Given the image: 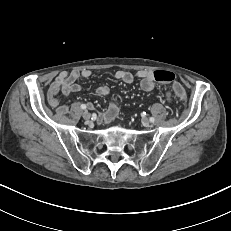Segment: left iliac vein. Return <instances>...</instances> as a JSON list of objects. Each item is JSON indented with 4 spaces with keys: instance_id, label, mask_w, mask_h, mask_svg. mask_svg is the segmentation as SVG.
<instances>
[{
    "instance_id": "1",
    "label": "left iliac vein",
    "mask_w": 231,
    "mask_h": 231,
    "mask_svg": "<svg viewBox=\"0 0 231 231\" xmlns=\"http://www.w3.org/2000/svg\"><path fill=\"white\" fill-rule=\"evenodd\" d=\"M142 124H143V126L148 127V126L150 125L149 119L143 118V119H142Z\"/></svg>"
}]
</instances>
